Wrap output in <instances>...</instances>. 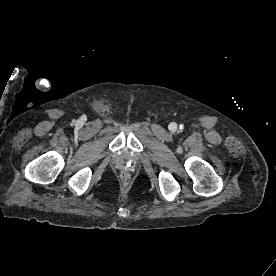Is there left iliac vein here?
Listing matches in <instances>:
<instances>
[{
	"mask_svg": "<svg viewBox=\"0 0 276 276\" xmlns=\"http://www.w3.org/2000/svg\"><path fill=\"white\" fill-rule=\"evenodd\" d=\"M172 129H176V124H172Z\"/></svg>",
	"mask_w": 276,
	"mask_h": 276,
	"instance_id": "obj_1",
	"label": "left iliac vein"
}]
</instances>
